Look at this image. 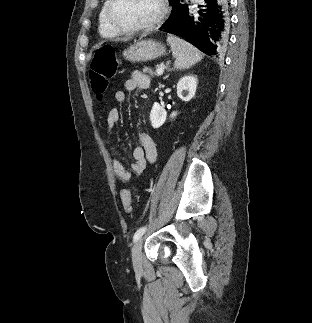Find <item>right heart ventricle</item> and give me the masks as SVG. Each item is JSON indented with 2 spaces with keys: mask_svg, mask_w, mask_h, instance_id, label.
<instances>
[{
  "mask_svg": "<svg viewBox=\"0 0 312 323\" xmlns=\"http://www.w3.org/2000/svg\"><path fill=\"white\" fill-rule=\"evenodd\" d=\"M93 18L97 25V33H115V22H112L107 7L102 5L97 13H94Z\"/></svg>",
  "mask_w": 312,
  "mask_h": 323,
  "instance_id": "1",
  "label": "right heart ventricle"
}]
</instances>
